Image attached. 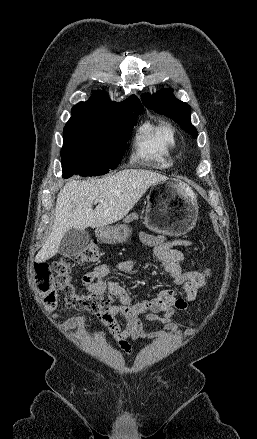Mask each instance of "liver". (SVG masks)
<instances>
[{"instance_id":"obj_1","label":"liver","mask_w":257,"mask_h":439,"mask_svg":"<svg viewBox=\"0 0 257 439\" xmlns=\"http://www.w3.org/2000/svg\"><path fill=\"white\" fill-rule=\"evenodd\" d=\"M164 179L153 171L125 169L102 179L69 181L58 194L53 227L36 261L55 256L62 238L72 228H100L121 220L150 186ZM96 199L100 203L93 210Z\"/></svg>"}]
</instances>
